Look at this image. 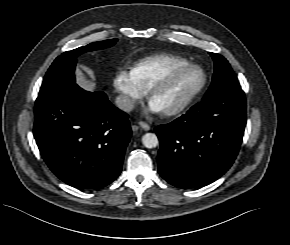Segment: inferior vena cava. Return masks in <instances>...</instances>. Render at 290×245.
Returning <instances> with one entry per match:
<instances>
[{
    "mask_svg": "<svg viewBox=\"0 0 290 245\" xmlns=\"http://www.w3.org/2000/svg\"><path fill=\"white\" fill-rule=\"evenodd\" d=\"M115 103L117 107L124 112H130L134 109V101L127 95L117 96L115 99Z\"/></svg>",
    "mask_w": 290,
    "mask_h": 245,
    "instance_id": "obj_1",
    "label": "inferior vena cava"
}]
</instances>
